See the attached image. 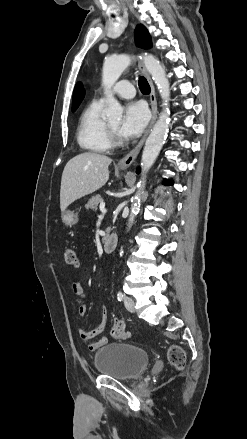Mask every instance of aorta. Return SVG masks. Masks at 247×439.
Segmentation results:
<instances>
[{"mask_svg": "<svg viewBox=\"0 0 247 439\" xmlns=\"http://www.w3.org/2000/svg\"><path fill=\"white\" fill-rule=\"evenodd\" d=\"M141 58L144 61V65L147 71L152 76V79L156 84L160 96L163 100V111L161 112L157 122L155 123L150 135L145 142L141 159V180L137 184L138 191L134 197L131 206L130 216L128 220L129 228L134 222V218L139 211L142 198V190L144 189L146 182V174L154 164L162 149V146L167 136L170 120V84L166 77V71L161 65L160 61L152 55H145ZM131 61L132 57L126 54L107 57L104 61L102 70V85L104 87L106 102L108 104L106 115L109 119H119L122 117L123 108L112 95L111 88L119 79L123 71L131 64ZM122 253L123 251H121L120 255H122Z\"/></svg>", "mask_w": 247, "mask_h": 439, "instance_id": "762f6f07", "label": "aorta"}]
</instances>
